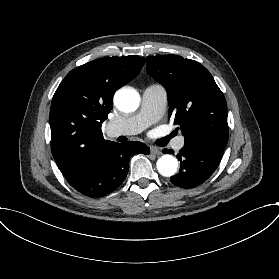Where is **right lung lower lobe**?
<instances>
[{"mask_svg": "<svg viewBox=\"0 0 279 279\" xmlns=\"http://www.w3.org/2000/svg\"><path fill=\"white\" fill-rule=\"evenodd\" d=\"M149 152V147L140 142H114L107 147L93 169L70 185L85 196L102 197L123 183L129 160L134 154Z\"/></svg>", "mask_w": 279, "mask_h": 279, "instance_id": "right-lung-lower-lobe-1", "label": "right lung lower lobe"}]
</instances>
